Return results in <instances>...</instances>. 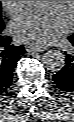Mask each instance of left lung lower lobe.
Here are the masks:
<instances>
[{
	"label": "left lung lower lobe",
	"instance_id": "obj_1",
	"mask_svg": "<svg viewBox=\"0 0 74 122\" xmlns=\"http://www.w3.org/2000/svg\"><path fill=\"white\" fill-rule=\"evenodd\" d=\"M74 46V34L69 37ZM65 66L53 75L57 88L63 92L74 93V54L66 55Z\"/></svg>",
	"mask_w": 74,
	"mask_h": 122
}]
</instances>
